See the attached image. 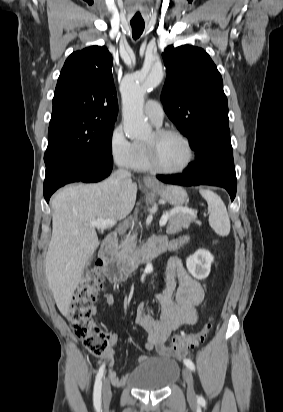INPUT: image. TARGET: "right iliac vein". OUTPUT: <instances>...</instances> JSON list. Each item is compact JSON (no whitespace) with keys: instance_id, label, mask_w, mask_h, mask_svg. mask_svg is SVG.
Returning a JSON list of instances; mask_svg holds the SVG:
<instances>
[{"instance_id":"63e3f726","label":"right iliac vein","mask_w":283,"mask_h":412,"mask_svg":"<svg viewBox=\"0 0 283 412\" xmlns=\"http://www.w3.org/2000/svg\"><path fill=\"white\" fill-rule=\"evenodd\" d=\"M111 385L108 378L104 380L103 388H102V399H103V406L107 407L111 400Z\"/></svg>"}]
</instances>
